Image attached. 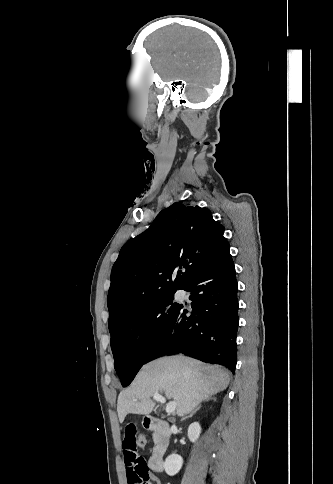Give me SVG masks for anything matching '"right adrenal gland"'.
I'll use <instances>...</instances> for the list:
<instances>
[{
	"instance_id": "right-adrenal-gland-1",
	"label": "right adrenal gland",
	"mask_w": 333,
	"mask_h": 484,
	"mask_svg": "<svg viewBox=\"0 0 333 484\" xmlns=\"http://www.w3.org/2000/svg\"><path fill=\"white\" fill-rule=\"evenodd\" d=\"M200 406L199 404L189 415L183 417V420L192 417L200 409Z\"/></svg>"
}]
</instances>
